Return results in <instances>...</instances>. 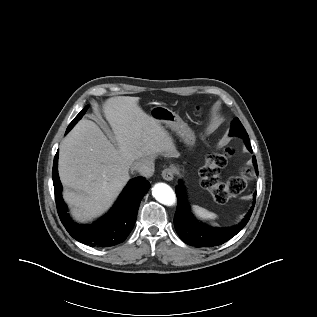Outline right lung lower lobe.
<instances>
[{
    "mask_svg": "<svg viewBox=\"0 0 317 317\" xmlns=\"http://www.w3.org/2000/svg\"><path fill=\"white\" fill-rule=\"evenodd\" d=\"M57 165L58 151L52 170L55 201L61 222L69 234L75 240L91 247H109L123 242L134 227L139 204L150 187L149 182L143 177L130 180L107 215L94 224L81 225L74 222L69 216L61 195L62 185Z\"/></svg>",
    "mask_w": 317,
    "mask_h": 317,
    "instance_id": "right-lung-lower-lobe-1",
    "label": "right lung lower lobe"
}]
</instances>
